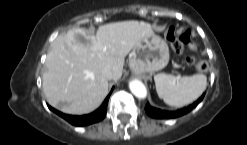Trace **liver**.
Here are the masks:
<instances>
[{"label":"liver","mask_w":247,"mask_h":145,"mask_svg":"<svg viewBox=\"0 0 247 145\" xmlns=\"http://www.w3.org/2000/svg\"><path fill=\"white\" fill-rule=\"evenodd\" d=\"M152 26L129 20L100 26L96 35L72 28L59 35L47 54L43 92L47 102L67 114H87L97 109L108 94L104 68L113 80L122 76L124 58Z\"/></svg>","instance_id":"liver-1"}]
</instances>
